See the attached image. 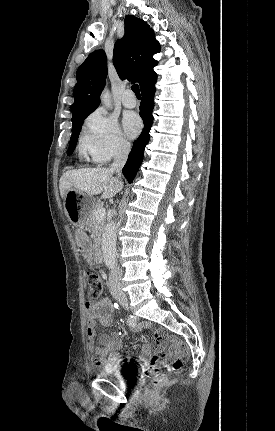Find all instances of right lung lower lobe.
Instances as JSON below:
<instances>
[{
    "instance_id": "98d812e1",
    "label": "right lung lower lobe",
    "mask_w": 275,
    "mask_h": 431,
    "mask_svg": "<svg viewBox=\"0 0 275 431\" xmlns=\"http://www.w3.org/2000/svg\"><path fill=\"white\" fill-rule=\"evenodd\" d=\"M155 83L156 80L141 91L143 100L140 105V116L144 122V129L140 137L134 142L128 160L123 168V174L129 183L133 181L142 163L144 148L149 142V132L153 123L152 111L154 107Z\"/></svg>"
}]
</instances>
